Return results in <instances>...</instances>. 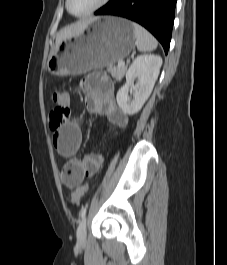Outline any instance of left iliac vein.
I'll use <instances>...</instances> for the list:
<instances>
[{
	"mask_svg": "<svg viewBox=\"0 0 227 265\" xmlns=\"http://www.w3.org/2000/svg\"><path fill=\"white\" fill-rule=\"evenodd\" d=\"M86 236H87L86 218H83L77 229V242L79 245L85 244Z\"/></svg>",
	"mask_w": 227,
	"mask_h": 265,
	"instance_id": "left-iliac-vein-1",
	"label": "left iliac vein"
}]
</instances>
